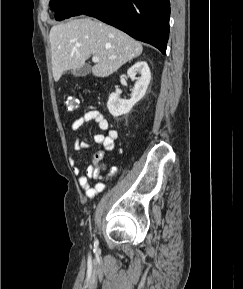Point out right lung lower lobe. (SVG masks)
I'll return each instance as SVG.
<instances>
[{"label": "right lung lower lobe", "mask_w": 243, "mask_h": 289, "mask_svg": "<svg viewBox=\"0 0 243 289\" xmlns=\"http://www.w3.org/2000/svg\"><path fill=\"white\" fill-rule=\"evenodd\" d=\"M88 15L166 53L169 0H87L72 16Z\"/></svg>", "instance_id": "98d812e1"}]
</instances>
